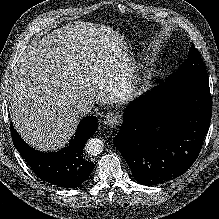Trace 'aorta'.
Instances as JSON below:
<instances>
[{"label":"aorta","instance_id":"1","mask_svg":"<svg viewBox=\"0 0 219 219\" xmlns=\"http://www.w3.org/2000/svg\"><path fill=\"white\" fill-rule=\"evenodd\" d=\"M104 149V144L99 138H90L85 144V151L92 156L99 155Z\"/></svg>","mask_w":219,"mask_h":219}]
</instances>
